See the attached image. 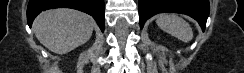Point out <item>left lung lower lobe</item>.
<instances>
[{"label": "left lung lower lobe", "instance_id": "obj_1", "mask_svg": "<svg viewBox=\"0 0 244 73\" xmlns=\"http://www.w3.org/2000/svg\"><path fill=\"white\" fill-rule=\"evenodd\" d=\"M209 10V0H139L140 28L157 13L174 12L194 18L204 31Z\"/></svg>", "mask_w": 244, "mask_h": 73}]
</instances>
